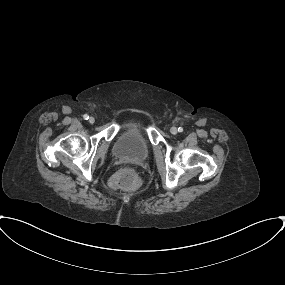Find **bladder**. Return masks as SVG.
<instances>
[{
  "label": "bladder",
  "instance_id": "31cf9c89",
  "mask_svg": "<svg viewBox=\"0 0 285 285\" xmlns=\"http://www.w3.org/2000/svg\"><path fill=\"white\" fill-rule=\"evenodd\" d=\"M150 143L142 122L131 119L121 128L113 145V155L120 159L145 160L150 154Z\"/></svg>",
  "mask_w": 285,
  "mask_h": 285
}]
</instances>
